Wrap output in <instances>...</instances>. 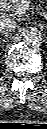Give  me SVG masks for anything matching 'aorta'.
Returning <instances> with one entry per match:
<instances>
[{"label": "aorta", "mask_w": 47, "mask_h": 129, "mask_svg": "<svg viewBox=\"0 0 47 129\" xmlns=\"http://www.w3.org/2000/svg\"><path fill=\"white\" fill-rule=\"evenodd\" d=\"M22 37L27 45H39L43 40L42 32L37 27H27L22 32Z\"/></svg>", "instance_id": "aorta-1"}]
</instances>
